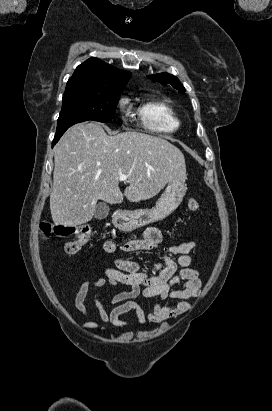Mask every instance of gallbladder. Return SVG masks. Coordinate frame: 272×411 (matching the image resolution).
Returning a JSON list of instances; mask_svg holds the SVG:
<instances>
[{
  "label": "gallbladder",
  "mask_w": 272,
  "mask_h": 411,
  "mask_svg": "<svg viewBox=\"0 0 272 411\" xmlns=\"http://www.w3.org/2000/svg\"><path fill=\"white\" fill-rule=\"evenodd\" d=\"M109 210H110V208H109V206H108L107 203H105V202H100V203H98V204L96 205V207H95V214H94V216H95V218L98 219V220L105 219V218L108 216V214H109Z\"/></svg>",
  "instance_id": "gallbladder-1"
}]
</instances>
